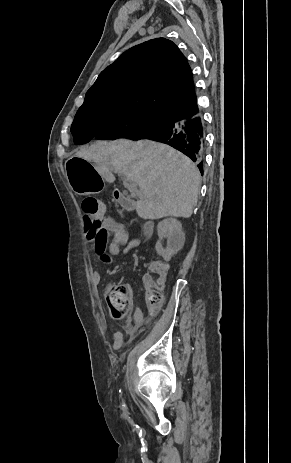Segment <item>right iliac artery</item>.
<instances>
[{
	"label": "right iliac artery",
	"instance_id": "1",
	"mask_svg": "<svg viewBox=\"0 0 291 463\" xmlns=\"http://www.w3.org/2000/svg\"><path fill=\"white\" fill-rule=\"evenodd\" d=\"M122 409H123L124 415L127 416L128 411H127V407H126L125 404L122 405ZM128 421L132 424V421L130 420V417H128Z\"/></svg>",
	"mask_w": 291,
	"mask_h": 463
}]
</instances>
